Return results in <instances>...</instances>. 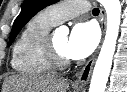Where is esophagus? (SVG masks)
<instances>
[{"label":"esophagus","instance_id":"1","mask_svg":"<svg viewBox=\"0 0 127 92\" xmlns=\"http://www.w3.org/2000/svg\"><path fill=\"white\" fill-rule=\"evenodd\" d=\"M101 18H102V32L105 33L106 29V14L103 8H101ZM97 53H95L90 60L83 66L81 71L79 72L76 80L74 81L73 85L76 88H84L91 76L92 69L94 66V63L96 61Z\"/></svg>","mask_w":127,"mask_h":92}]
</instances>
